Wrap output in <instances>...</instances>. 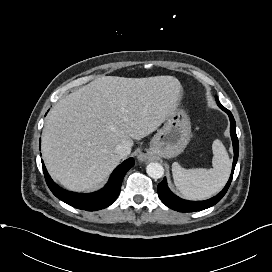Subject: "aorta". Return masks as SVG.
Wrapping results in <instances>:
<instances>
[{"mask_svg": "<svg viewBox=\"0 0 272 272\" xmlns=\"http://www.w3.org/2000/svg\"><path fill=\"white\" fill-rule=\"evenodd\" d=\"M147 174L153 179H159L164 175V168L160 163L152 162L146 167Z\"/></svg>", "mask_w": 272, "mask_h": 272, "instance_id": "aorta-1", "label": "aorta"}]
</instances>
